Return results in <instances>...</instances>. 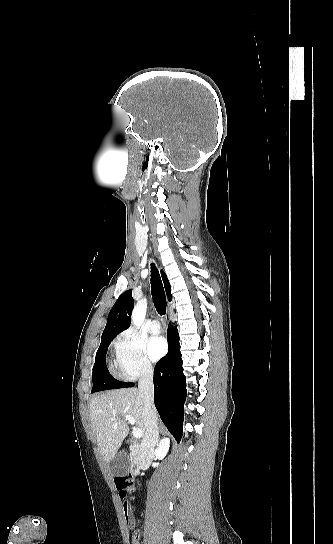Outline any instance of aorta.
Listing matches in <instances>:
<instances>
[{
	"mask_svg": "<svg viewBox=\"0 0 333 544\" xmlns=\"http://www.w3.org/2000/svg\"><path fill=\"white\" fill-rule=\"evenodd\" d=\"M147 304L146 301H139L132 312V322L136 327H140L146 316Z\"/></svg>",
	"mask_w": 333,
	"mask_h": 544,
	"instance_id": "762f6f07",
	"label": "aorta"
}]
</instances>
